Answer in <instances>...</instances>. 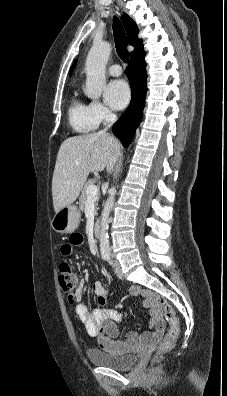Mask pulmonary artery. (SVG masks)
I'll return each instance as SVG.
<instances>
[{"instance_id": "pulmonary-artery-1", "label": "pulmonary artery", "mask_w": 227, "mask_h": 396, "mask_svg": "<svg viewBox=\"0 0 227 396\" xmlns=\"http://www.w3.org/2000/svg\"><path fill=\"white\" fill-rule=\"evenodd\" d=\"M108 71H109V73H110L112 76H119V75L122 74V69H121V67H120L119 65H117V64L111 65V66L108 68Z\"/></svg>"}]
</instances>
